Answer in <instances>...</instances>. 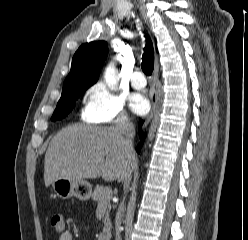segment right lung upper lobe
Returning a JSON list of instances; mask_svg holds the SVG:
<instances>
[{
  "label": "right lung upper lobe",
  "instance_id": "obj_1",
  "mask_svg": "<svg viewBox=\"0 0 248 240\" xmlns=\"http://www.w3.org/2000/svg\"><path fill=\"white\" fill-rule=\"evenodd\" d=\"M108 54L106 41L82 44L73 56L71 70L63 87L77 85L90 87L97 82L101 66Z\"/></svg>",
  "mask_w": 248,
  "mask_h": 240
}]
</instances>
